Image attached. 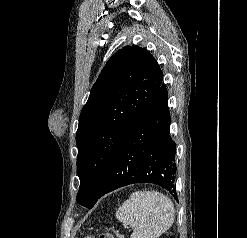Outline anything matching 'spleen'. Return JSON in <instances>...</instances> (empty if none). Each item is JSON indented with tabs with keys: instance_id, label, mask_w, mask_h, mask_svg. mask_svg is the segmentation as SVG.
<instances>
[{
	"instance_id": "1",
	"label": "spleen",
	"mask_w": 247,
	"mask_h": 238,
	"mask_svg": "<svg viewBox=\"0 0 247 238\" xmlns=\"http://www.w3.org/2000/svg\"><path fill=\"white\" fill-rule=\"evenodd\" d=\"M174 205L158 191H136L116 211V218L132 227L131 238H157L174 222Z\"/></svg>"
}]
</instances>
